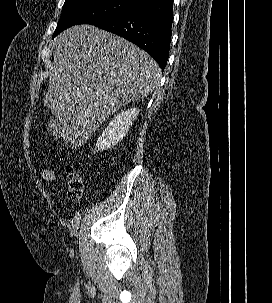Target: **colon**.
I'll use <instances>...</instances> for the list:
<instances>
[{"label":"colon","instance_id":"colon-1","mask_svg":"<svg viewBox=\"0 0 272 303\" xmlns=\"http://www.w3.org/2000/svg\"><path fill=\"white\" fill-rule=\"evenodd\" d=\"M48 133L53 138H58L60 136L59 124L56 118H51L48 124ZM38 174L43 181L50 182L55 179V171L52 167L43 165L39 167ZM67 174V195L68 198L77 202L81 199L83 194V182L80 174L77 172L76 168L68 164L66 166Z\"/></svg>","mask_w":272,"mask_h":303}]
</instances>
